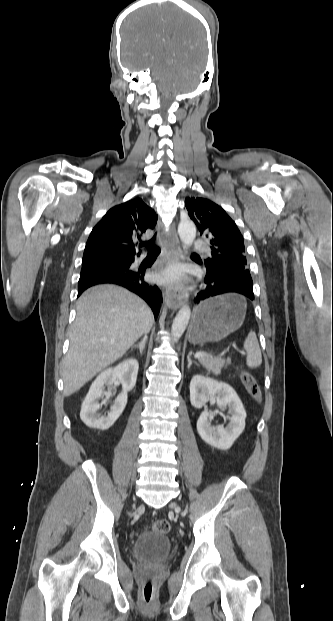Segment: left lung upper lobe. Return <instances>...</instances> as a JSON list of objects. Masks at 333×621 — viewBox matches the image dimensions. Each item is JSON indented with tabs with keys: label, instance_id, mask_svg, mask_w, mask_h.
<instances>
[{
	"label": "left lung upper lobe",
	"instance_id": "obj_1",
	"mask_svg": "<svg viewBox=\"0 0 333 621\" xmlns=\"http://www.w3.org/2000/svg\"><path fill=\"white\" fill-rule=\"evenodd\" d=\"M185 206L200 233L210 239L212 257L205 260L206 269L250 274L243 236L225 210L214 202L199 197L186 198Z\"/></svg>",
	"mask_w": 333,
	"mask_h": 621
}]
</instances>
